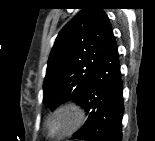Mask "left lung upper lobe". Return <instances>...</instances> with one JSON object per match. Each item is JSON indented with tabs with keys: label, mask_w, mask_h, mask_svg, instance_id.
<instances>
[{
	"label": "left lung upper lobe",
	"mask_w": 155,
	"mask_h": 141,
	"mask_svg": "<svg viewBox=\"0 0 155 141\" xmlns=\"http://www.w3.org/2000/svg\"><path fill=\"white\" fill-rule=\"evenodd\" d=\"M83 6L58 34L48 59L43 102L51 110L69 99L80 103L106 47L114 38L101 3L92 0Z\"/></svg>",
	"instance_id": "left-lung-upper-lobe-1"
}]
</instances>
